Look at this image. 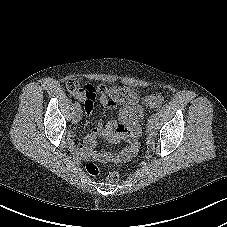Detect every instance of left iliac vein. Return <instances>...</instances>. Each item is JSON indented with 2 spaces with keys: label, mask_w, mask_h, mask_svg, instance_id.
<instances>
[{
  "label": "left iliac vein",
  "mask_w": 227,
  "mask_h": 227,
  "mask_svg": "<svg viewBox=\"0 0 227 227\" xmlns=\"http://www.w3.org/2000/svg\"><path fill=\"white\" fill-rule=\"evenodd\" d=\"M147 134L150 135V136L155 135V126H154L153 121L148 122V124H147Z\"/></svg>",
  "instance_id": "obj_1"
}]
</instances>
